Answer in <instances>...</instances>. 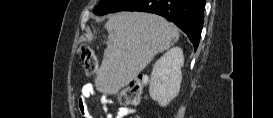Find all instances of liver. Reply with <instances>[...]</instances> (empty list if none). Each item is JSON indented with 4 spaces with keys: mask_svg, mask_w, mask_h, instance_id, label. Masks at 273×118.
I'll return each mask as SVG.
<instances>
[{
    "mask_svg": "<svg viewBox=\"0 0 273 118\" xmlns=\"http://www.w3.org/2000/svg\"><path fill=\"white\" fill-rule=\"evenodd\" d=\"M107 48L95 81L96 89L108 95L118 93L151 62L179 39L178 28L155 14L120 12L105 25Z\"/></svg>",
    "mask_w": 273,
    "mask_h": 118,
    "instance_id": "obj_1",
    "label": "liver"
}]
</instances>
